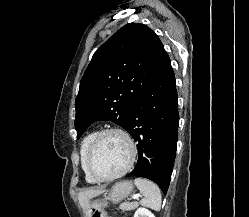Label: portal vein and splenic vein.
I'll return each instance as SVG.
<instances>
[{"instance_id": "obj_1", "label": "portal vein and splenic vein", "mask_w": 249, "mask_h": 217, "mask_svg": "<svg viewBox=\"0 0 249 217\" xmlns=\"http://www.w3.org/2000/svg\"><path fill=\"white\" fill-rule=\"evenodd\" d=\"M140 196H141L140 194L134 195V196L132 197V199H138Z\"/></svg>"}]
</instances>
